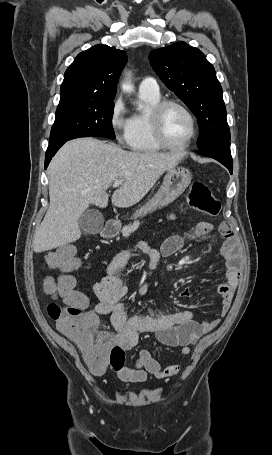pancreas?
Masks as SVG:
<instances>
[{
	"label": "pancreas",
	"instance_id": "pancreas-1",
	"mask_svg": "<svg viewBox=\"0 0 272 455\" xmlns=\"http://www.w3.org/2000/svg\"><path fill=\"white\" fill-rule=\"evenodd\" d=\"M140 226L139 221H134L132 224L126 225L122 228L121 233L124 237L130 236L131 233L135 232ZM119 239V238H117Z\"/></svg>",
	"mask_w": 272,
	"mask_h": 455
}]
</instances>
